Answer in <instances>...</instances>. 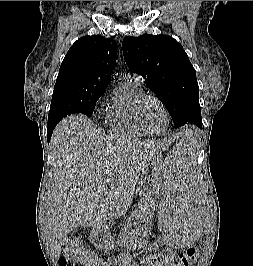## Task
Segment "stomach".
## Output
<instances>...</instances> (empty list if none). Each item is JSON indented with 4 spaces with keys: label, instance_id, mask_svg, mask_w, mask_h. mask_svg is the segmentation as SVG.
<instances>
[{
    "label": "stomach",
    "instance_id": "obj_1",
    "mask_svg": "<svg viewBox=\"0 0 253 266\" xmlns=\"http://www.w3.org/2000/svg\"><path fill=\"white\" fill-rule=\"evenodd\" d=\"M165 171L161 155H155L147 162L140 180L138 207L127 219L119 235V242L127 249H141L148 244L155 210L154 198L162 185L161 180ZM100 246L109 247V240L105 239Z\"/></svg>",
    "mask_w": 253,
    "mask_h": 266
}]
</instances>
